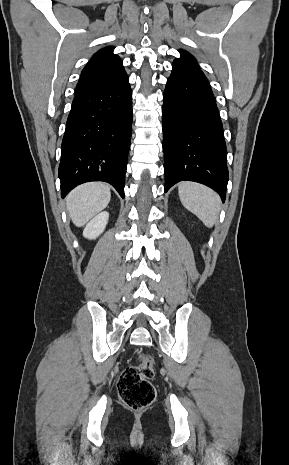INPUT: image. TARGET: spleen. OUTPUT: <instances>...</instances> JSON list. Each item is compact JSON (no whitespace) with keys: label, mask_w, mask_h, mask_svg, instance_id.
I'll return each instance as SVG.
<instances>
[{"label":"spleen","mask_w":289,"mask_h":465,"mask_svg":"<svg viewBox=\"0 0 289 465\" xmlns=\"http://www.w3.org/2000/svg\"><path fill=\"white\" fill-rule=\"evenodd\" d=\"M179 198L183 206L211 228L220 212V197L205 185L183 181L178 185Z\"/></svg>","instance_id":"1"}]
</instances>
